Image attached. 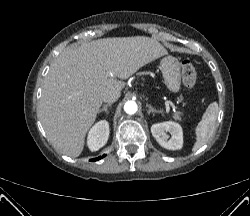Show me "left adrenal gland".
<instances>
[{
	"label": "left adrenal gland",
	"instance_id": "obj_1",
	"mask_svg": "<svg viewBox=\"0 0 250 216\" xmlns=\"http://www.w3.org/2000/svg\"><path fill=\"white\" fill-rule=\"evenodd\" d=\"M146 106L149 108L148 114H150V113H162L161 110L154 109L150 104H147Z\"/></svg>",
	"mask_w": 250,
	"mask_h": 216
}]
</instances>
